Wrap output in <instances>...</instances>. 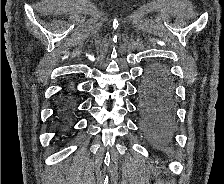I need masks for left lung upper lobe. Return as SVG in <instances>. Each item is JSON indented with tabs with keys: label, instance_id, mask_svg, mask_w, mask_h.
<instances>
[{
	"label": "left lung upper lobe",
	"instance_id": "left-lung-upper-lobe-1",
	"mask_svg": "<svg viewBox=\"0 0 224 184\" xmlns=\"http://www.w3.org/2000/svg\"><path fill=\"white\" fill-rule=\"evenodd\" d=\"M158 65H160V66H163V67H165L166 68V66H164V65H162V64H158ZM167 69V68H166ZM168 70V69H167Z\"/></svg>",
	"mask_w": 224,
	"mask_h": 184
}]
</instances>
